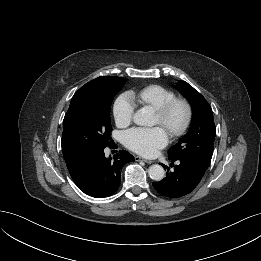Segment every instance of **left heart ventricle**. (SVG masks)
<instances>
[{"mask_svg":"<svg viewBox=\"0 0 261 261\" xmlns=\"http://www.w3.org/2000/svg\"><path fill=\"white\" fill-rule=\"evenodd\" d=\"M181 116H182L181 111H180L179 109L176 110V111L174 112V114L172 115L171 123H172V124H177V123H179L180 120H181ZM155 124H160V125H161L160 120H159V118H158L157 115L155 116Z\"/></svg>","mask_w":261,"mask_h":261,"instance_id":"obj_1","label":"left heart ventricle"}]
</instances>
